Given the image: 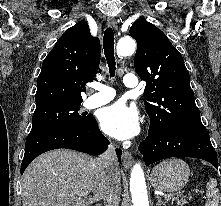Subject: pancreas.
I'll use <instances>...</instances> for the list:
<instances>
[{
    "mask_svg": "<svg viewBox=\"0 0 221 206\" xmlns=\"http://www.w3.org/2000/svg\"><path fill=\"white\" fill-rule=\"evenodd\" d=\"M192 197H187L184 195H177L172 197V201H175V203L178 206H184L188 203V200H191Z\"/></svg>",
    "mask_w": 221,
    "mask_h": 206,
    "instance_id": "pancreas-1",
    "label": "pancreas"
}]
</instances>
